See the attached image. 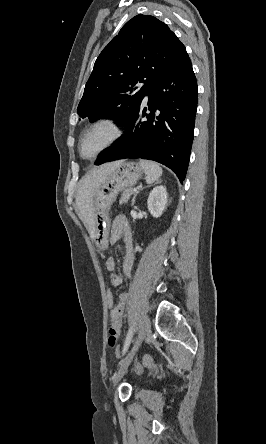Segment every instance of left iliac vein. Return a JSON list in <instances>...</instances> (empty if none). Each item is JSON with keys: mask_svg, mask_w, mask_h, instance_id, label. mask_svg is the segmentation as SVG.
<instances>
[{"mask_svg": "<svg viewBox=\"0 0 266 444\" xmlns=\"http://www.w3.org/2000/svg\"><path fill=\"white\" fill-rule=\"evenodd\" d=\"M150 327H151V324H150V320H149L148 316H144L142 319L140 331H139L138 337L134 343V346L129 351L127 356L124 358V360L122 361L118 372L115 374V376L113 378V387L114 388L117 386V384L120 382V380L122 379V377L126 373L130 363L132 362L134 356L136 355L143 340L150 333Z\"/></svg>", "mask_w": 266, "mask_h": 444, "instance_id": "obj_1", "label": "left iliac vein"}]
</instances>
